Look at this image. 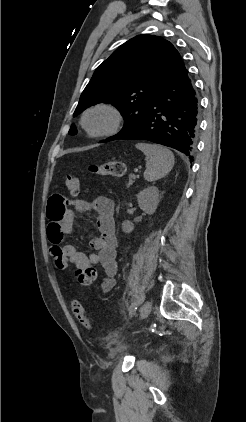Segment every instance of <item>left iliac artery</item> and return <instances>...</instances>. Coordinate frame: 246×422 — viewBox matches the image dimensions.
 <instances>
[{"instance_id":"1","label":"left iliac artery","mask_w":246,"mask_h":422,"mask_svg":"<svg viewBox=\"0 0 246 422\" xmlns=\"http://www.w3.org/2000/svg\"><path fill=\"white\" fill-rule=\"evenodd\" d=\"M137 306H138L137 302H133L131 304V306L129 308V315H130V317H132L135 314V312L137 310Z\"/></svg>"}]
</instances>
